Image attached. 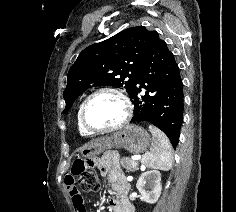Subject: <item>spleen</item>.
<instances>
[{
  "instance_id": "spleen-1",
  "label": "spleen",
  "mask_w": 236,
  "mask_h": 212,
  "mask_svg": "<svg viewBox=\"0 0 236 212\" xmlns=\"http://www.w3.org/2000/svg\"><path fill=\"white\" fill-rule=\"evenodd\" d=\"M149 131L153 138L150 152L142 156V163L149 168L168 171L172 167V146L167 136L154 125H149Z\"/></svg>"
}]
</instances>
